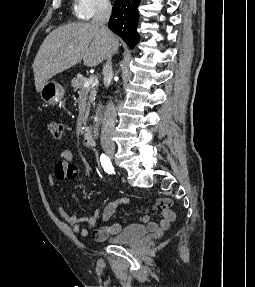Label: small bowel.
I'll return each mask as SVG.
<instances>
[{
	"label": "small bowel",
	"mask_w": 255,
	"mask_h": 287,
	"mask_svg": "<svg viewBox=\"0 0 255 287\" xmlns=\"http://www.w3.org/2000/svg\"><path fill=\"white\" fill-rule=\"evenodd\" d=\"M72 154L64 150L60 154V160L54 167V172L48 178V184L51 188L55 185V180L66 181L74 180L79 175V169L76 165L70 163ZM130 200L128 198H119L108 203L102 212L99 209H95L90 217H84L75 213L70 212L62 206L58 207L60 215L71 225V228L75 234L86 237L88 230L83 226V223L89 225H95L97 221L102 218L104 225L93 230V237L102 241L108 236L114 235L120 231L122 225L119 223H111L110 220L117 208L128 204ZM172 202L169 198H161L153 203V208L160 212L162 218L159 221H151L149 215H142L140 222L147 224L148 229L156 234L162 235L167 231L171 223L175 220L176 215L171 210Z\"/></svg>",
	"instance_id": "small-bowel-1"
}]
</instances>
